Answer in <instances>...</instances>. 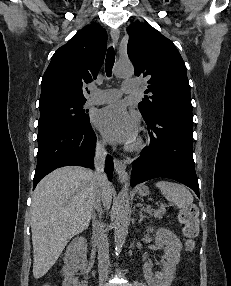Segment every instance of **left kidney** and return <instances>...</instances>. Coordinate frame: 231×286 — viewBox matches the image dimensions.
Segmentation results:
<instances>
[{
	"label": "left kidney",
	"instance_id": "1",
	"mask_svg": "<svg viewBox=\"0 0 231 286\" xmlns=\"http://www.w3.org/2000/svg\"><path fill=\"white\" fill-rule=\"evenodd\" d=\"M154 229L149 228L147 233H153ZM155 232V244L164 247V258L162 262V272H153L151 262H146L143 266L145 280L149 286H170L176 265L180 260L182 243L180 239L169 229L160 228Z\"/></svg>",
	"mask_w": 231,
	"mask_h": 286
}]
</instances>
